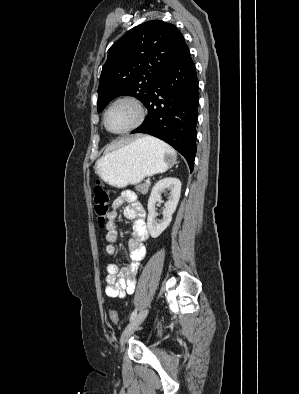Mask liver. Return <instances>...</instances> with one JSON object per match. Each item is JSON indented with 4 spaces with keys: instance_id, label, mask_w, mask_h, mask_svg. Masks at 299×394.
I'll use <instances>...</instances> for the list:
<instances>
[{
    "instance_id": "obj_1",
    "label": "liver",
    "mask_w": 299,
    "mask_h": 394,
    "mask_svg": "<svg viewBox=\"0 0 299 394\" xmlns=\"http://www.w3.org/2000/svg\"><path fill=\"white\" fill-rule=\"evenodd\" d=\"M128 142V140H125V141H122L121 143H127Z\"/></svg>"
}]
</instances>
